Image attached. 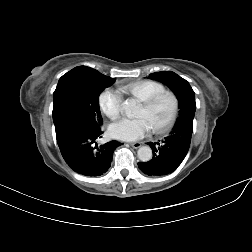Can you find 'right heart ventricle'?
<instances>
[{"mask_svg": "<svg viewBox=\"0 0 252 252\" xmlns=\"http://www.w3.org/2000/svg\"><path fill=\"white\" fill-rule=\"evenodd\" d=\"M121 90L142 102L166 88L159 82L143 80L123 85Z\"/></svg>", "mask_w": 252, "mask_h": 252, "instance_id": "e07e8e85", "label": "right heart ventricle"}]
</instances>
